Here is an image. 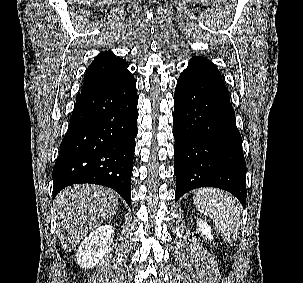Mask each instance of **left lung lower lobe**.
<instances>
[{"mask_svg":"<svg viewBox=\"0 0 303 283\" xmlns=\"http://www.w3.org/2000/svg\"><path fill=\"white\" fill-rule=\"evenodd\" d=\"M176 200L216 187L246 205V163L228 89L215 65L199 56L181 73L174 95Z\"/></svg>","mask_w":303,"mask_h":283,"instance_id":"left-lung-lower-lobe-1","label":"left lung lower lobe"}]
</instances>
